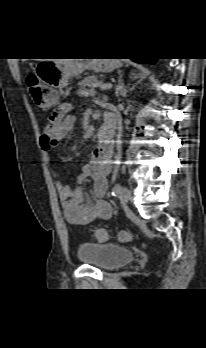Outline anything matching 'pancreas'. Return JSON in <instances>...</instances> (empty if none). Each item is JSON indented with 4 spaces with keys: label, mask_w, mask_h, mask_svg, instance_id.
Segmentation results:
<instances>
[{
    "label": "pancreas",
    "mask_w": 206,
    "mask_h": 348,
    "mask_svg": "<svg viewBox=\"0 0 206 348\" xmlns=\"http://www.w3.org/2000/svg\"><path fill=\"white\" fill-rule=\"evenodd\" d=\"M78 85L82 87L87 86L89 88H96L99 86L98 76L97 75L88 76L84 78L83 80H81Z\"/></svg>",
    "instance_id": "cf45deb5"
}]
</instances>
